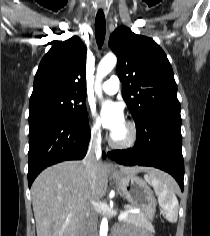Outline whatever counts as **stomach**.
<instances>
[{
	"label": "stomach",
	"mask_w": 210,
	"mask_h": 236,
	"mask_svg": "<svg viewBox=\"0 0 210 236\" xmlns=\"http://www.w3.org/2000/svg\"><path fill=\"white\" fill-rule=\"evenodd\" d=\"M113 179L119 185L127 201L141 210L147 219L152 220L156 209V200L147 183L136 175L113 173Z\"/></svg>",
	"instance_id": "obj_1"
}]
</instances>
